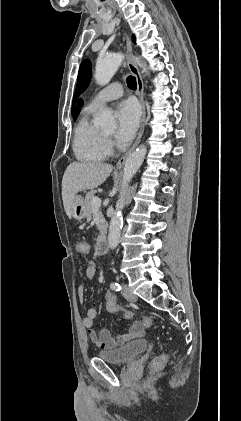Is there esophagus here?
<instances>
[{
    "instance_id": "34e87169",
    "label": "esophagus",
    "mask_w": 241,
    "mask_h": 421,
    "mask_svg": "<svg viewBox=\"0 0 241 421\" xmlns=\"http://www.w3.org/2000/svg\"><path fill=\"white\" fill-rule=\"evenodd\" d=\"M126 44H127V52L129 54V58L127 61V66L130 70V72L135 76L136 78V82H137V95H138V99L141 105V109H142V113H141V123H140V129H139V133L138 136L134 142V144L132 145V147L118 160L116 167L117 168H122L127 157L129 156V154L137 147V145L139 144L143 132H144V127H145V117H146V108H145V102H144V84H143V79L142 76L137 68V66L135 65V63L132 61V59L130 58L131 54H132V46H131V42L130 39L126 36Z\"/></svg>"
}]
</instances>
